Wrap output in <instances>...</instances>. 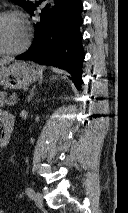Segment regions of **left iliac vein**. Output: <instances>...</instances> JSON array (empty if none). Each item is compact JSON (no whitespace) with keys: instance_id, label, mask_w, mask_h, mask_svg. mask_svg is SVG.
I'll return each mask as SVG.
<instances>
[{"instance_id":"left-iliac-vein-1","label":"left iliac vein","mask_w":128,"mask_h":213,"mask_svg":"<svg viewBox=\"0 0 128 213\" xmlns=\"http://www.w3.org/2000/svg\"><path fill=\"white\" fill-rule=\"evenodd\" d=\"M33 200H34L35 204H36L38 207H42V206H43V198H42V195H41V194H39V193H34Z\"/></svg>"}]
</instances>
